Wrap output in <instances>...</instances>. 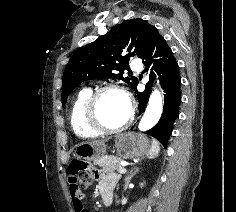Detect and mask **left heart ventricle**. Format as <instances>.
Listing matches in <instances>:
<instances>
[{
	"mask_svg": "<svg viewBox=\"0 0 236 212\" xmlns=\"http://www.w3.org/2000/svg\"><path fill=\"white\" fill-rule=\"evenodd\" d=\"M128 112V102L120 92L108 91L99 99L98 117L107 128H116L122 125Z\"/></svg>",
	"mask_w": 236,
	"mask_h": 212,
	"instance_id": "b2bd125f",
	"label": "left heart ventricle"
}]
</instances>
